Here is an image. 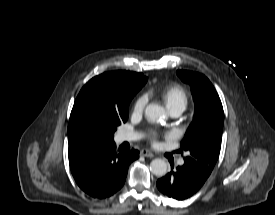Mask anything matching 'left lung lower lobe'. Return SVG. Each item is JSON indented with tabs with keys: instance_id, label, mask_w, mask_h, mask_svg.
<instances>
[{
	"instance_id": "1",
	"label": "left lung lower lobe",
	"mask_w": 275,
	"mask_h": 215,
	"mask_svg": "<svg viewBox=\"0 0 275 215\" xmlns=\"http://www.w3.org/2000/svg\"><path fill=\"white\" fill-rule=\"evenodd\" d=\"M209 173L186 163L157 181V188L166 196L184 200L194 195L205 183Z\"/></svg>"
}]
</instances>
